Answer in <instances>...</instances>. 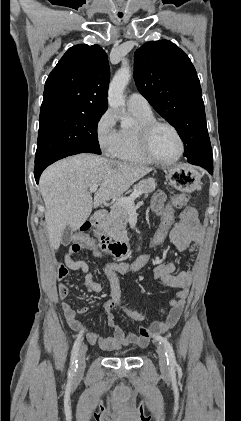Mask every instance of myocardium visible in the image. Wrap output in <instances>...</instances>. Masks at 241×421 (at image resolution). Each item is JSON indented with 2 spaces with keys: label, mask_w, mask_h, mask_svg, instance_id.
<instances>
[{
  "label": "myocardium",
  "mask_w": 241,
  "mask_h": 421,
  "mask_svg": "<svg viewBox=\"0 0 241 421\" xmlns=\"http://www.w3.org/2000/svg\"><path fill=\"white\" fill-rule=\"evenodd\" d=\"M160 126H165V127L170 128L178 138L180 150H179V153L177 154V156L174 157L173 159L162 160V159L158 158L152 150V147H151L152 135H153L154 131ZM139 142H140V146H141V149H142L143 153L152 162H154L156 164H159V165H171V164L176 163L178 160H180V158L183 156L184 151H185L184 139H183L179 129L175 125H173L172 123L167 122V121H163V120L154 119L152 121H149V122L143 124L139 129Z\"/></svg>",
  "instance_id": "1"
}]
</instances>
